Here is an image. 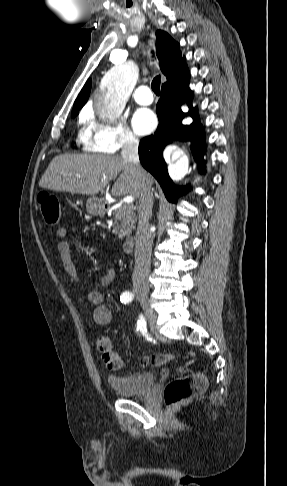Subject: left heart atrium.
<instances>
[{"mask_svg":"<svg viewBox=\"0 0 287 486\" xmlns=\"http://www.w3.org/2000/svg\"><path fill=\"white\" fill-rule=\"evenodd\" d=\"M132 125L136 133L145 135L155 127L156 117L150 110L142 109L134 114Z\"/></svg>","mask_w":287,"mask_h":486,"instance_id":"left-heart-atrium-1","label":"left heart atrium"}]
</instances>
